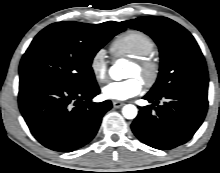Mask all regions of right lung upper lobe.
Here are the masks:
<instances>
[{"mask_svg":"<svg viewBox=\"0 0 220 173\" xmlns=\"http://www.w3.org/2000/svg\"><path fill=\"white\" fill-rule=\"evenodd\" d=\"M106 25H112L116 29H119L121 32L125 30V27L122 24H120L118 22H113V21L105 22V23H102V24H97L96 26L101 27V26H106Z\"/></svg>","mask_w":220,"mask_h":173,"instance_id":"cb5924a9","label":"right lung upper lobe"}]
</instances>
